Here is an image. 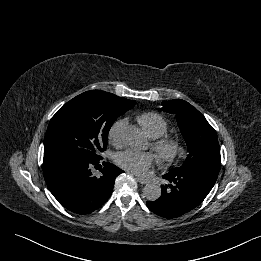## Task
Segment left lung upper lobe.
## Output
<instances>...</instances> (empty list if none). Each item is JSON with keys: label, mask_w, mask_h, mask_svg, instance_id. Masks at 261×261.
Listing matches in <instances>:
<instances>
[{"label": "left lung upper lobe", "mask_w": 261, "mask_h": 261, "mask_svg": "<svg viewBox=\"0 0 261 261\" xmlns=\"http://www.w3.org/2000/svg\"><path fill=\"white\" fill-rule=\"evenodd\" d=\"M162 110L176 115L177 123L189 152L183 165L172 170L198 167L219 173L220 147L216 131L191 104L175 99L162 102Z\"/></svg>", "instance_id": "left-lung-upper-lobe-1"}]
</instances>
